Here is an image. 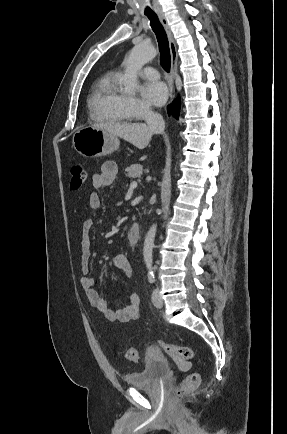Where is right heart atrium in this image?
<instances>
[{
    "instance_id": "right-heart-atrium-1",
    "label": "right heart atrium",
    "mask_w": 287,
    "mask_h": 434,
    "mask_svg": "<svg viewBox=\"0 0 287 434\" xmlns=\"http://www.w3.org/2000/svg\"><path fill=\"white\" fill-rule=\"evenodd\" d=\"M123 105L127 113L134 117L151 113V109L136 96H124Z\"/></svg>"
}]
</instances>
